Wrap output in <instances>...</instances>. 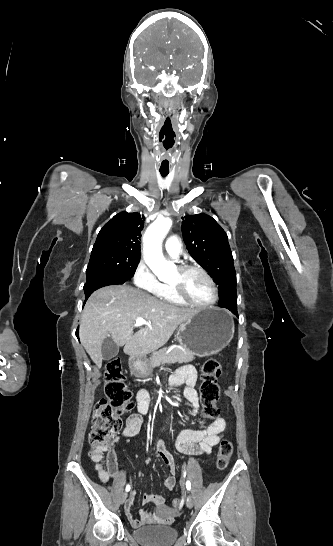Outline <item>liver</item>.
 I'll list each match as a JSON object with an SVG mask.
<instances>
[{
    "label": "liver",
    "mask_w": 333,
    "mask_h": 546,
    "mask_svg": "<svg viewBox=\"0 0 333 546\" xmlns=\"http://www.w3.org/2000/svg\"><path fill=\"white\" fill-rule=\"evenodd\" d=\"M198 311L163 303L129 285L106 286L87 300L80 321V341L100 368L105 339L124 346V352L130 356L143 357L166 344L176 328ZM138 317L150 325L134 333Z\"/></svg>",
    "instance_id": "1"
}]
</instances>
